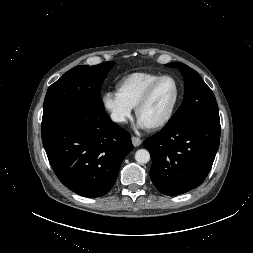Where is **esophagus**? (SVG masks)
I'll return each mask as SVG.
<instances>
[{
    "instance_id": "obj_1",
    "label": "esophagus",
    "mask_w": 253,
    "mask_h": 253,
    "mask_svg": "<svg viewBox=\"0 0 253 253\" xmlns=\"http://www.w3.org/2000/svg\"><path fill=\"white\" fill-rule=\"evenodd\" d=\"M133 146L137 147L140 146L142 143V140L138 137L132 136L131 138Z\"/></svg>"
}]
</instances>
